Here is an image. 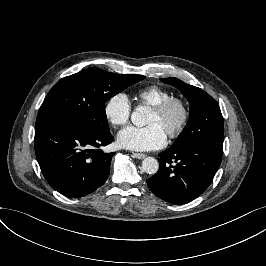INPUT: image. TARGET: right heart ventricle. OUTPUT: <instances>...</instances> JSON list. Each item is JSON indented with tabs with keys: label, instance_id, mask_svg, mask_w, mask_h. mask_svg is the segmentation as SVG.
<instances>
[{
	"label": "right heart ventricle",
	"instance_id": "e07e8e85",
	"mask_svg": "<svg viewBox=\"0 0 266 266\" xmlns=\"http://www.w3.org/2000/svg\"><path fill=\"white\" fill-rule=\"evenodd\" d=\"M170 96H173L172 91L160 85H149L140 88L135 94V98L139 103L150 107L159 104Z\"/></svg>",
	"mask_w": 266,
	"mask_h": 266
}]
</instances>
